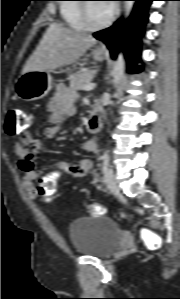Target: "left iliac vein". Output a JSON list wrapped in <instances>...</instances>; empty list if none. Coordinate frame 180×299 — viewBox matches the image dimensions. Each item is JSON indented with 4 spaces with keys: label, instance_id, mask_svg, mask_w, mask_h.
Masks as SVG:
<instances>
[{
    "label": "left iliac vein",
    "instance_id": "4c4485c4",
    "mask_svg": "<svg viewBox=\"0 0 180 299\" xmlns=\"http://www.w3.org/2000/svg\"><path fill=\"white\" fill-rule=\"evenodd\" d=\"M104 182L107 186V188L112 192V193H118L119 192V187H118V182L116 179V176L114 174V171L112 169H107L104 175Z\"/></svg>",
    "mask_w": 180,
    "mask_h": 299
}]
</instances>
